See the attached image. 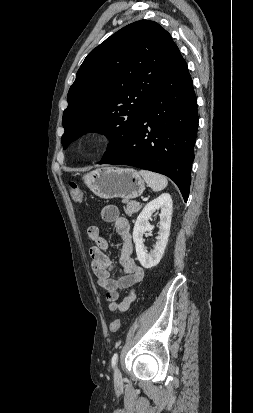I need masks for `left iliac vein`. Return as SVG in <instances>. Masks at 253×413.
Wrapping results in <instances>:
<instances>
[{"label": "left iliac vein", "instance_id": "left-iliac-vein-1", "mask_svg": "<svg viewBox=\"0 0 253 413\" xmlns=\"http://www.w3.org/2000/svg\"><path fill=\"white\" fill-rule=\"evenodd\" d=\"M114 379L116 381H119L121 379V372L118 367H115L114 369Z\"/></svg>", "mask_w": 253, "mask_h": 413}]
</instances>
